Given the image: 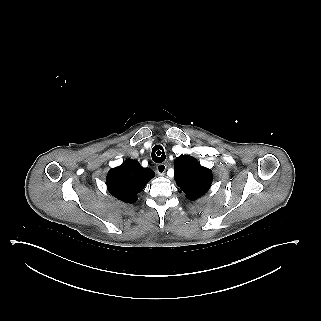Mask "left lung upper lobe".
Here are the masks:
<instances>
[{
    "mask_svg": "<svg viewBox=\"0 0 321 321\" xmlns=\"http://www.w3.org/2000/svg\"><path fill=\"white\" fill-rule=\"evenodd\" d=\"M174 171L177 185L189 200H197L211 187L213 180L211 170L202 167L192 156L182 155L177 158Z\"/></svg>",
    "mask_w": 321,
    "mask_h": 321,
    "instance_id": "obj_1",
    "label": "left lung upper lobe"
}]
</instances>
